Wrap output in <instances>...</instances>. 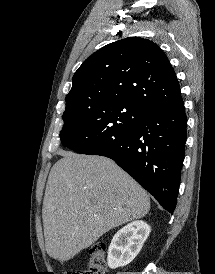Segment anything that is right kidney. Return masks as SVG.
Returning <instances> with one entry per match:
<instances>
[{
	"label": "right kidney",
	"mask_w": 215,
	"mask_h": 274,
	"mask_svg": "<svg viewBox=\"0 0 215 274\" xmlns=\"http://www.w3.org/2000/svg\"><path fill=\"white\" fill-rule=\"evenodd\" d=\"M151 231L144 221H133L120 229L108 249L107 262L111 269L128 265L140 252Z\"/></svg>",
	"instance_id": "right-kidney-1"
}]
</instances>
